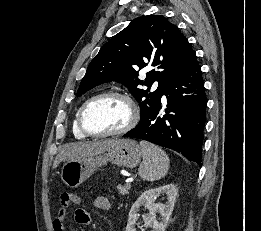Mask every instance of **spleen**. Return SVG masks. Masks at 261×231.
<instances>
[{
	"label": "spleen",
	"instance_id": "spleen-1",
	"mask_svg": "<svg viewBox=\"0 0 261 231\" xmlns=\"http://www.w3.org/2000/svg\"><path fill=\"white\" fill-rule=\"evenodd\" d=\"M143 161L139 167V175L143 180L156 181L163 178L169 169V157L158 146L146 141H140Z\"/></svg>",
	"mask_w": 261,
	"mask_h": 231
}]
</instances>
